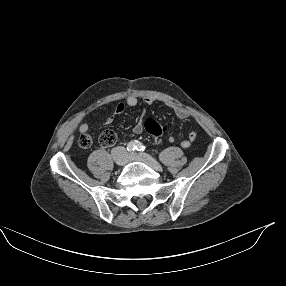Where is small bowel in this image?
I'll list each match as a JSON object with an SVG mask.
<instances>
[{
    "label": "small bowel",
    "instance_id": "c3829d8e",
    "mask_svg": "<svg viewBox=\"0 0 286 286\" xmlns=\"http://www.w3.org/2000/svg\"><path fill=\"white\" fill-rule=\"evenodd\" d=\"M144 103L146 104H152L155 102V98L152 97V96H147L143 99ZM138 104V98L134 95H131L129 96L127 99H126V102L125 103H119L116 108H115V111L113 113V115L109 116L106 120V123L107 124H110L114 121L115 117L122 114L127 107H130V108H133L135 106H137ZM175 115L180 118V119H186L188 117L191 116V113L183 108V107H180V106H173L172 107ZM148 118L145 117L144 115H142L139 120L136 122V124L134 125L133 127V132L135 134H141L144 132L145 128H144V124H145V121L147 120ZM88 131H89V127L86 123H82L80 125V132L82 134H88ZM197 138V132L196 131H190L187 138L182 140L180 142V146L182 148H189L191 146V144L196 140ZM168 140L169 142L173 143L175 142V136L174 135H170L168 137Z\"/></svg>",
    "mask_w": 286,
    "mask_h": 286
}]
</instances>
